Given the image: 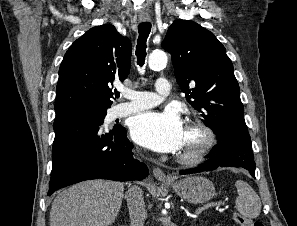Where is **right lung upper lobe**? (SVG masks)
Returning <instances> with one entry per match:
<instances>
[{
	"label": "right lung upper lobe",
	"mask_w": 297,
	"mask_h": 226,
	"mask_svg": "<svg viewBox=\"0 0 297 226\" xmlns=\"http://www.w3.org/2000/svg\"><path fill=\"white\" fill-rule=\"evenodd\" d=\"M131 51L130 40L111 24L93 27L77 39L59 69L56 116L83 108L107 110L113 97L109 84L127 78Z\"/></svg>",
	"instance_id": "obj_1"
}]
</instances>
